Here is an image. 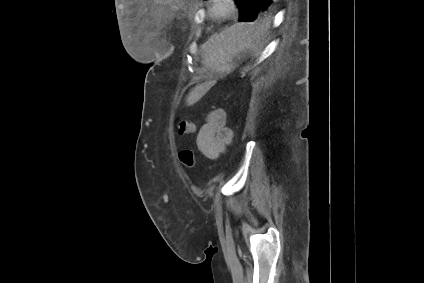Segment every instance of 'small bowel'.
<instances>
[{"instance_id": "obj_1", "label": "small bowel", "mask_w": 424, "mask_h": 283, "mask_svg": "<svg viewBox=\"0 0 424 283\" xmlns=\"http://www.w3.org/2000/svg\"><path fill=\"white\" fill-rule=\"evenodd\" d=\"M226 113L214 109L207 115L205 123L196 136L198 151L208 159L215 160L222 155L232 141V131L226 127Z\"/></svg>"}]
</instances>
